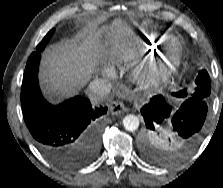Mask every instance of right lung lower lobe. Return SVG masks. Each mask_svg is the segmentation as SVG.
<instances>
[{"instance_id":"98d812e1","label":"right lung lower lobe","mask_w":223,"mask_h":188,"mask_svg":"<svg viewBox=\"0 0 223 188\" xmlns=\"http://www.w3.org/2000/svg\"><path fill=\"white\" fill-rule=\"evenodd\" d=\"M40 51L26 64L21 88L24 120L37 148L54 165L74 169L88 163L100 146L97 118L107 108L92 109L88 99L71 98L59 105L48 103L39 88Z\"/></svg>"}]
</instances>
